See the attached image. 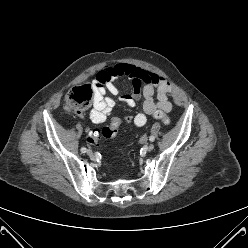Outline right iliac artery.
I'll use <instances>...</instances> for the list:
<instances>
[{"label": "right iliac artery", "mask_w": 248, "mask_h": 248, "mask_svg": "<svg viewBox=\"0 0 248 248\" xmlns=\"http://www.w3.org/2000/svg\"><path fill=\"white\" fill-rule=\"evenodd\" d=\"M86 151H87V149H86L85 147H82V148H81V152H82V153H85Z\"/></svg>", "instance_id": "right-iliac-artery-1"}]
</instances>
